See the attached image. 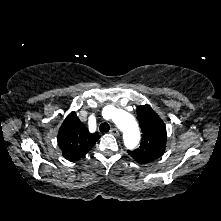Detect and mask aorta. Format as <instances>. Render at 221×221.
<instances>
[{"label":"aorta","mask_w":221,"mask_h":221,"mask_svg":"<svg viewBox=\"0 0 221 221\" xmlns=\"http://www.w3.org/2000/svg\"><path fill=\"white\" fill-rule=\"evenodd\" d=\"M113 121L124 135V143L127 148H134L140 140V132L134 117L121 110L115 111Z\"/></svg>","instance_id":"obj_1"}]
</instances>
